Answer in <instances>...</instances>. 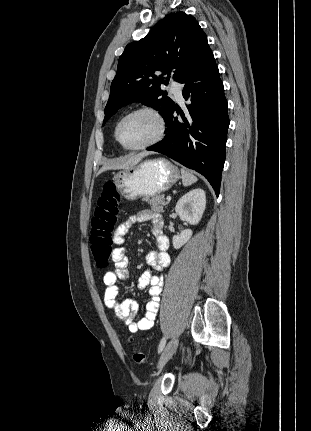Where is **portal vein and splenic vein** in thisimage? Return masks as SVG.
<instances>
[{
    "mask_svg": "<svg viewBox=\"0 0 311 431\" xmlns=\"http://www.w3.org/2000/svg\"><path fill=\"white\" fill-rule=\"evenodd\" d=\"M166 200L167 202H171V196H167Z\"/></svg>",
    "mask_w": 311,
    "mask_h": 431,
    "instance_id": "18ae733b",
    "label": "portal vein and splenic vein"
}]
</instances>
